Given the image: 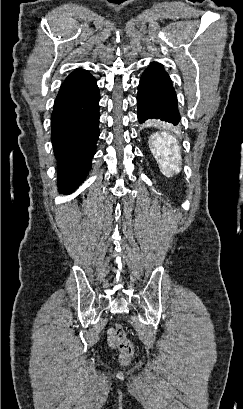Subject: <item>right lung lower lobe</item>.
<instances>
[{
	"mask_svg": "<svg viewBox=\"0 0 243 409\" xmlns=\"http://www.w3.org/2000/svg\"><path fill=\"white\" fill-rule=\"evenodd\" d=\"M99 100L97 81L84 69L73 71L56 97L51 140L62 192H73L91 167L99 137Z\"/></svg>",
	"mask_w": 243,
	"mask_h": 409,
	"instance_id": "98d812e1",
	"label": "right lung lower lobe"
}]
</instances>
